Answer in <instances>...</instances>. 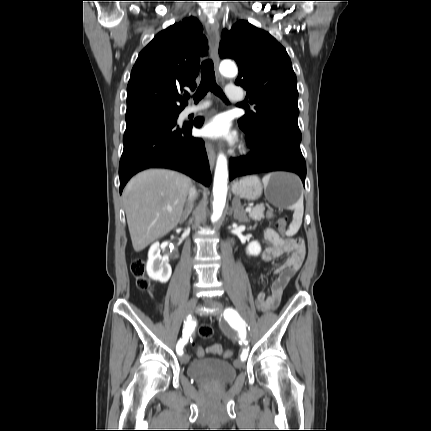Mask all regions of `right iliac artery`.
Masks as SVG:
<instances>
[{"instance_id": "82829eb1", "label": "right iliac artery", "mask_w": 431, "mask_h": 431, "mask_svg": "<svg viewBox=\"0 0 431 431\" xmlns=\"http://www.w3.org/2000/svg\"><path fill=\"white\" fill-rule=\"evenodd\" d=\"M194 327H195V324L191 321V317L189 316L183 328V337L178 341L176 346V352L179 355L183 354V347L188 342L189 336L193 332Z\"/></svg>"}]
</instances>
